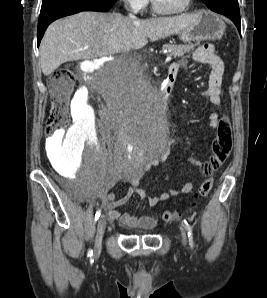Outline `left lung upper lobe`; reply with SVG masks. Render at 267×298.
<instances>
[{
	"label": "left lung upper lobe",
	"instance_id": "left-lung-upper-lobe-1",
	"mask_svg": "<svg viewBox=\"0 0 267 298\" xmlns=\"http://www.w3.org/2000/svg\"><path fill=\"white\" fill-rule=\"evenodd\" d=\"M212 11L224 10L230 6H238V0H202Z\"/></svg>",
	"mask_w": 267,
	"mask_h": 298
}]
</instances>
